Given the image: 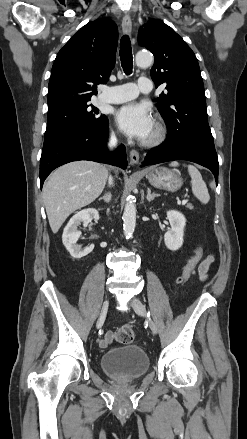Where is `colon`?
Segmentation results:
<instances>
[{
  "mask_svg": "<svg viewBox=\"0 0 247 439\" xmlns=\"http://www.w3.org/2000/svg\"><path fill=\"white\" fill-rule=\"evenodd\" d=\"M202 247L198 245L191 253L186 262L181 275L177 279V284H184L194 273L202 257ZM116 340L121 344L132 343L135 338V332L129 324L121 326L115 333Z\"/></svg>",
  "mask_w": 247,
  "mask_h": 439,
  "instance_id": "5ec220e1",
  "label": "colon"
}]
</instances>
